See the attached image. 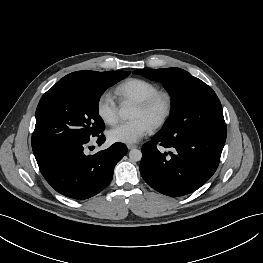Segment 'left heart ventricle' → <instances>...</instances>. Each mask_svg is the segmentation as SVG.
<instances>
[{"label": "left heart ventricle", "instance_id": "b2bd125f", "mask_svg": "<svg viewBox=\"0 0 263 263\" xmlns=\"http://www.w3.org/2000/svg\"><path fill=\"white\" fill-rule=\"evenodd\" d=\"M165 103L163 100L159 101L156 106L148 112H144L141 109L135 107L132 118L133 119H144L152 125L153 121L163 112Z\"/></svg>", "mask_w": 263, "mask_h": 263}]
</instances>
